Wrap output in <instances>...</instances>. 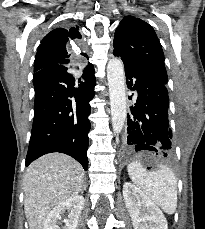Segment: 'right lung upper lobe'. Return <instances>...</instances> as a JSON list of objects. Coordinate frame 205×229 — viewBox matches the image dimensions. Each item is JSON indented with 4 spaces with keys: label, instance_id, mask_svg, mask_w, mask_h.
Instances as JSON below:
<instances>
[{
    "label": "right lung upper lobe",
    "instance_id": "cb5924a9",
    "mask_svg": "<svg viewBox=\"0 0 205 229\" xmlns=\"http://www.w3.org/2000/svg\"><path fill=\"white\" fill-rule=\"evenodd\" d=\"M79 27L57 28L48 33L38 47L34 61V72L52 65L72 67L74 52L80 48ZM87 57L86 53H80ZM92 64H88L91 66ZM87 66V67H88Z\"/></svg>",
    "mask_w": 205,
    "mask_h": 229
}]
</instances>
